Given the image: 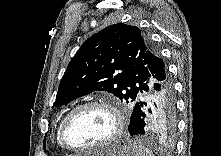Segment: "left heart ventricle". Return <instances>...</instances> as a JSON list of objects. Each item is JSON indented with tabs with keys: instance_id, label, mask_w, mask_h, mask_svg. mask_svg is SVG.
Returning a JSON list of instances; mask_svg holds the SVG:
<instances>
[{
	"instance_id": "1",
	"label": "left heart ventricle",
	"mask_w": 221,
	"mask_h": 156,
	"mask_svg": "<svg viewBox=\"0 0 221 156\" xmlns=\"http://www.w3.org/2000/svg\"><path fill=\"white\" fill-rule=\"evenodd\" d=\"M114 119L109 110L91 107L80 112L67 129V140L74 146H91L112 132Z\"/></svg>"
}]
</instances>
